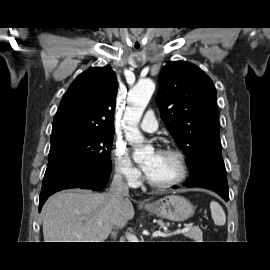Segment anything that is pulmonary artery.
Instances as JSON below:
<instances>
[{
	"label": "pulmonary artery",
	"mask_w": 270,
	"mask_h": 270,
	"mask_svg": "<svg viewBox=\"0 0 270 270\" xmlns=\"http://www.w3.org/2000/svg\"><path fill=\"white\" fill-rule=\"evenodd\" d=\"M142 130L146 132H154L158 128V123L153 111H147L143 120L140 123Z\"/></svg>",
	"instance_id": "1"
}]
</instances>
